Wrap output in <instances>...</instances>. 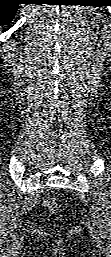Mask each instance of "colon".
Instances as JSON below:
<instances>
[{
    "instance_id": "obj_1",
    "label": "colon",
    "mask_w": 111,
    "mask_h": 257,
    "mask_svg": "<svg viewBox=\"0 0 111 257\" xmlns=\"http://www.w3.org/2000/svg\"><path fill=\"white\" fill-rule=\"evenodd\" d=\"M45 205L50 209H56V202L52 198H47L45 200Z\"/></svg>"
}]
</instances>
